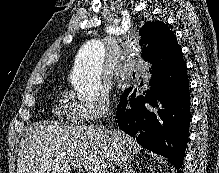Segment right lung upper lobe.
I'll return each mask as SVG.
<instances>
[{"instance_id":"1","label":"right lung upper lobe","mask_w":219,"mask_h":173,"mask_svg":"<svg viewBox=\"0 0 219 173\" xmlns=\"http://www.w3.org/2000/svg\"><path fill=\"white\" fill-rule=\"evenodd\" d=\"M142 46V57L149 59L152 55L158 54L162 58L181 57L182 50L178 45L173 32L163 22H146L139 30Z\"/></svg>"}]
</instances>
